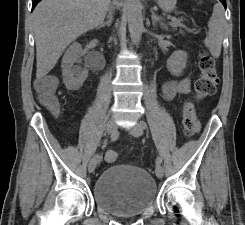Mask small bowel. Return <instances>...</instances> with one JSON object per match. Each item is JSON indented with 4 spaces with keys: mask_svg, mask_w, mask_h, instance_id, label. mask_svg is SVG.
I'll return each instance as SVG.
<instances>
[{
    "mask_svg": "<svg viewBox=\"0 0 245 225\" xmlns=\"http://www.w3.org/2000/svg\"><path fill=\"white\" fill-rule=\"evenodd\" d=\"M54 81V76L47 75L44 77H41L38 80V85H46L49 82ZM190 83L187 79H170L167 80L163 85V95L165 99L172 100L177 94H186L189 92ZM109 153L114 155V158L111 161H108L109 163H113L117 159V153L115 151H110Z\"/></svg>",
    "mask_w": 245,
    "mask_h": 225,
    "instance_id": "obj_1",
    "label": "small bowel"
}]
</instances>
